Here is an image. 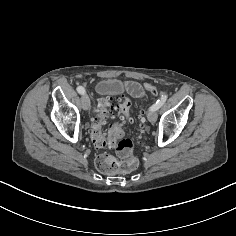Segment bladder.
<instances>
[{"instance_id":"31cf9c89","label":"bladder","mask_w":236,"mask_h":236,"mask_svg":"<svg viewBox=\"0 0 236 236\" xmlns=\"http://www.w3.org/2000/svg\"><path fill=\"white\" fill-rule=\"evenodd\" d=\"M122 89V82L115 78H103L97 84V91L103 95H115Z\"/></svg>"}]
</instances>
